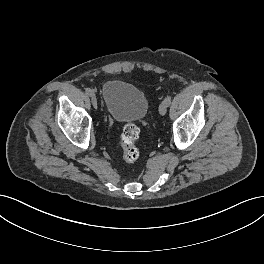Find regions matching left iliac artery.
<instances>
[{
    "instance_id": "1",
    "label": "left iliac artery",
    "mask_w": 264,
    "mask_h": 264,
    "mask_svg": "<svg viewBox=\"0 0 264 264\" xmlns=\"http://www.w3.org/2000/svg\"><path fill=\"white\" fill-rule=\"evenodd\" d=\"M171 99H172V97H171L170 95H168V96L164 99V101H165L168 105H170V103H171Z\"/></svg>"
}]
</instances>
